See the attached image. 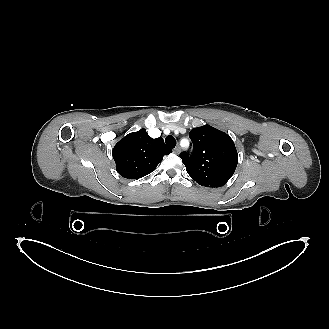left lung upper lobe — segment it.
I'll return each mask as SVG.
<instances>
[{
	"label": "left lung upper lobe",
	"instance_id": "1",
	"mask_svg": "<svg viewBox=\"0 0 329 329\" xmlns=\"http://www.w3.org/2000/svg\"><path fill=\"white\" fill-rule=\"evenodd\" d=\"M189 137L193 149L180 157L190 177L205 187H221L232 177L238 153L226 133L209 125L193 128Z\"/></svg>",
	"mask_w": 329,
	"mask_h": 329
}]
</instances>
